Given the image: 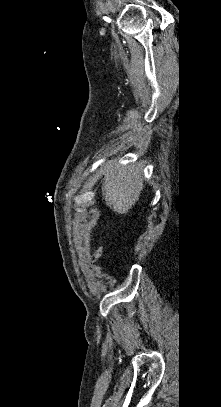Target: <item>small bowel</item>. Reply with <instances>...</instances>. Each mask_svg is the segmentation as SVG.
Wrapping results in <instances>:
<instances>
[{
  "mask_svg": "<svg viewBox=\"0 0 221 407\" xmlns=\"http://www.w3.org/2000/svg\"><path fill=\"white\" fill-rule=\"evenodd\" d=\"M102 254H103V247L98 246L97 249L90 255L89 262L95 263L97 260H99L101 258Z\"/></svg>",
  "mask_w": 221,
  "mask_h": 407,
  "instance_id": "obj_1",
  "label": "small bowel"
}]
</instances>
